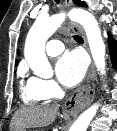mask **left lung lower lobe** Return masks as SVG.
I'll return each mask as SVG.
<instances>
[{"mask_svg": "<svg viewBox=\"0 0 117 131\" xmlns=\"http://www.w3.org/2000/svg\"><path fill=\"white\" fill-rule=\"evenodd\" d=\"M109 50H110L112 63H113V65H116V62H117V43L114 40H112L111 38L109 39Z\"/></svg>", "mask_w": 117, "mask_h": 131, "instance_id": "obj_1", "label": "left lung lower lobe"}]
</instances>
